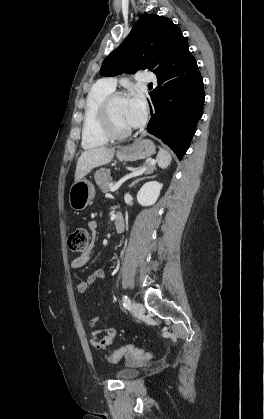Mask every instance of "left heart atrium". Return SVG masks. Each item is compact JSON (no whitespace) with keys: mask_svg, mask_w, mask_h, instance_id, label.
I'll return each instance as SVG.
<instances>
[{"mask_svg":"<svg viewBox=\"0 0 264 419\" xmlns=\"http://www.w3.org/2000/svg\"><path fill=\"white\" fill-rule=\"evenodd\" d=\"M125 115L131 127H139L144 124L147 117V105L139 92H133L126 99Z\"/></svg>","mask_w":264,"mask_h":419,"instance_id":"39dd6f15","label":"left heart atrium"}]
</instances>
